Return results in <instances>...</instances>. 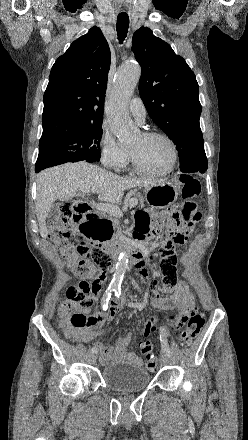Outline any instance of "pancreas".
Here are the masks:
<instances>
[{"label":"pancreas","mask_w":248,"mask_h":440,"mask_svg":"<svg viewBox=\"0 0 248 440\" xmlns=\"http://www.w3.org/2000/svg\"><path fill=\"white\" fill-rule=\"evenodd\" d=\"M134 199H136L137 201H139V203H140L141 205L144 204V198L141 197L140 195H138V194L135 195ZM109 219L113 222L114 227L117 228L118 233H120V232H121V229H120V227H119V220H118V217L113 216V217H110Z\"/></svg>","instance_id":"obj_1"}]
</instances>
